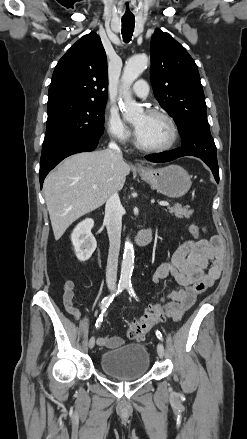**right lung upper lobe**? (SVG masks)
Returning a JSON list of instances; mask_svg holds the SVG:
<instances>
[{
  "label": "right lung upper lobe",
  "instance_id": "obj_1",
  "mask_svg": "<svg viewBox=\"0 0 247 439\" xmlns=\"http://www.w3.org/2000/svg\"><path fill=\"white\" fill-rule=\"evenodd\" d=\"M107 60L100 37L91 32L78 40L57 63L48 105L65 100L107 101Z\"/></svg>",
  "mask_w": 247,
  "mask_h": 439
}]
</instances>
